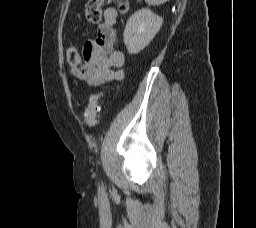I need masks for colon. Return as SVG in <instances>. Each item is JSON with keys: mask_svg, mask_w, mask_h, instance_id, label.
<instances>
[{"mask_svg": "<svg viewBox=\"0 0 256 228\" xmlns=\"http://www.w3.org/2000/svg\"><path fill=\"white\" fill-rule=\"evenodd\" d=\"M116 2L120 13L125 14L128 11V0H88L85 7L87 20L92 24H98L102 18V7L104 4ZM67 60L73 67L84 64V60L79 52L72 46L67 49ZM104 97V93L92 95L89 99L85 111V121L88 127H94L99 113V101Z\"/></svg>", "mask_w": 256, "mask_h": 228, "instance_id": "colon-1", "label": "colon"}]
</instances>
